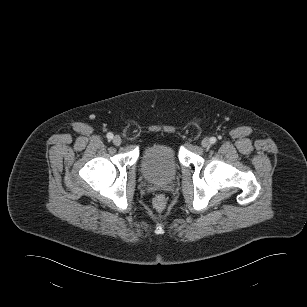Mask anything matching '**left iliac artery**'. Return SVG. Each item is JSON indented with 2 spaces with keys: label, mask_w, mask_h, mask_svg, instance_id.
<instances>
[{
  "label": "left iliac artery",
  "mask_w": 307,
  "mask_h": 307,
  "mask_svg": "<svg viewBox=\"0 0 307 307\" xmlns=\"http://www.w3.org/2000/svg\"><path fill=\"white\" fill-rule=\"evenodd\" d=\"M210 143H212V144L216 143V138L215 137H211L210 138Z\"/></svg>",
  "instance_id": "1"
}]
</instances>
